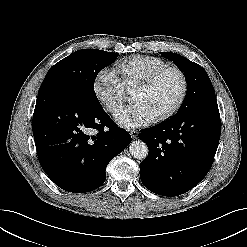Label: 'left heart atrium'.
<instances>
[{
    "label": "left heart atrium",
    "mask_w": 247,
    "mask_h": 247,
    "mask_svg": "<svg viewBox=\"0 0 247 247\" xmlns=\"http://www.w3.org/2000/svg\"><path fill=\"white\" fill-rule=\"evenodd\" d=\"M114 117L116 122L124 128L147 125L156 119V115L142 102L119 109Z\"/></svg>",
    "instance_id": "obj_1"
}]
</instances>
